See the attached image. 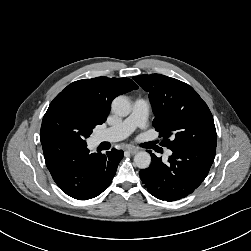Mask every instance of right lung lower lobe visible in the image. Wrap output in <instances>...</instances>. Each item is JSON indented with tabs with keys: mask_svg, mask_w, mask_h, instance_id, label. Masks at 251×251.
Here are the masks:
<instances>
[{
	"mask_svg": "<svg viewBox=\"0 0 251 251\" xmlns=\"http://www.w3.org/2000/svg\"><path fill=\"white\" fill-rule=\"evenodd\" d=\"M46 166L59 188L72 198L87 200L111 183L123 151L90 153L87 145L55 140L42 142Z\"/></svg>",
	"mask_w": 251,
	"mask_h": 251,
	"instance_id": "obj_1",
	"label": "right lung lower lobe"
}]
</instances>
